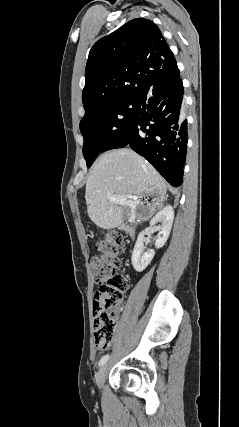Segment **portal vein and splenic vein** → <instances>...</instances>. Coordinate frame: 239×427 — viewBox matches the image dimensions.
I'll use <instances>...</instances> for the list:
<instances>
[{
    "label": "portal vein and splenic vein",
    "instance_id": "obj_1",
    "mask_svg": "<svg viewBox=\"0 0 239 427\" xmlns=\"http://www.w3.org/2000/svg\"><path fill=\"white\" fill-rule=\"evenodd\" d=\"M132 198L133 197H122L119 195H112V194L108 195V200L111 203H117V204H127V203L131 202V200H129V199H132Z\"/></svg>",
    "mask_w": 239,
    "mask_h": 427
}]
</instances>
